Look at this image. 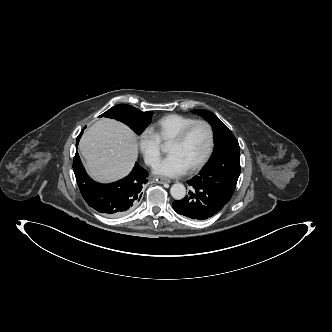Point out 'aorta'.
I'll return each mask as SVG.
<instances>
[{
	"instance_id": "1",
	"label": "aorta",
	"mask_w": 332,
	"mask_h": 332,
	"mask_svg": "<svg viewBox=\"0 0 332 332\" xmlns=\"http://www.w3.org/2000/svg\"><path fill=\"white\" fill-rule=\"evenodd\" d=\"M170 193L175 200H182L186 195V188L181 183H175L171 186Z\"/></svg>"
}]
</instances>
